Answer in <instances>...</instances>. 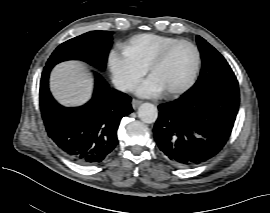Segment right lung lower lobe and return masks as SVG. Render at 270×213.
<instances>
[{"label":"right lung lower lobe","mask_w":270,"mask_h":213,"mask_svg":"<svg viewBox=\"0 0 270 213\" xmlns=\"http://www.w3.org/2000/svg\"><path fill=\"white\" fill-rule=\"evenodd\" d=\"M53 65H46L40 82V108L48 136L72 160L85 165L100 163L117 145V128L130 114L131 98L110 90L96 73L92 99L78 108L57 103L48 88Z\"/></svg>","instance_id":"right-lung-lower-lobe-1"}]
</instances>
